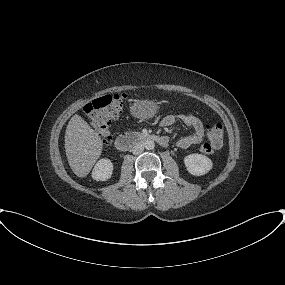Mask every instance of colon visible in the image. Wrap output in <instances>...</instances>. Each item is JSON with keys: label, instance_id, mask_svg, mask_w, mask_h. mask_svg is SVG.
I'll return each mask as SVG.
<instances>
[{"label": "colon", "instance_id": "1", "mask_svg": "<svg viewBox=\"0 0 285 285\" xmlns=\"http://www.w3.org/2000/svg\"><path fill=\"white\" fill-rule=\"evenodd\" d=\"M125 99V94H109L91 101L84 107V113L105 146L110 145L112 141L110 125L122 114ZM207 135L209 142L205 143L201 150L205 154H213L223 146L222 125L219 123L209 125Z\"/></svg>", "mask_w": 285, "mask_h": 285}]
</instances>
